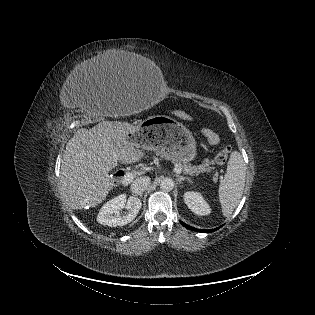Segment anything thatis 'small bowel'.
<instances>
[{
	"mask_svg": "<svg viewBox=\"0 0 315 315\" xmlns=\"http://www.w3.org/2000/svg\"><path fill=\"white\" fill-rule=\"evenodd\" d=\"M203 133L211 145L218 144L219 137L216 133H214L213 131H211L209 129H205Z\"/></svg>",
	"mask_w": 315,
	"mask_h": 315,
	"instance_id": "1",
	"label": "small bowel"
}]
</instances>
